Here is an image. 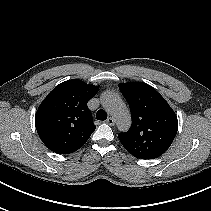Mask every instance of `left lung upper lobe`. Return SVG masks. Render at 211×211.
Here are the masks:
<instances>
[{"label": "left lung upper lobe", "instance_id": "5c2ea615", "mask_svg": "<svg viewBox=\"0 0 211 211\" xmlns=\"http://www.w3.org/2000/svg\"><path fill=\"white\" fill-rule=\"evenodd\" d=\"M119 89L130 106L132 125L118 134L121 144L136 158L161 156L173 142L178 120L166 100L143 82L120 83Z\"/></svg>", "mask_w": 211, "mask_h": 211}]
</instances>
